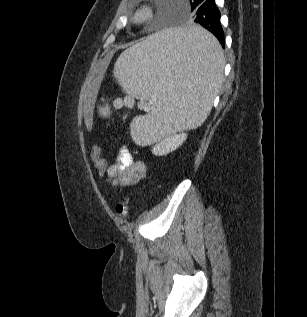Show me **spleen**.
Instances as JSON below:
<instances>
[{"label":"spleen","instance_id":"3e777b00","mask_svg":"<svg viewBox=\"0 0 307 317\" xmlns=\"http://www.w3.org/2000/svg\"><path fill=\"white\" fill-rule=\"evenodd\" d=\"M223 69L221 46L204 26L158 29L124 51L114 76L128 94L154 105L131 123L133 140L145 145L172 130L201 126L222 86Z\"/></svg>","mask_w":307,"mask_h":317}]
</instances>
